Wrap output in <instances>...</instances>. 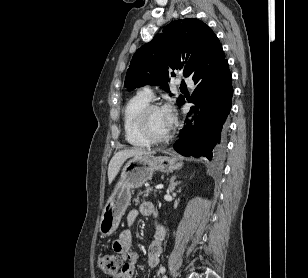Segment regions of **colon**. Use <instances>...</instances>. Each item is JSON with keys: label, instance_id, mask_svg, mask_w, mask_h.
Masks as SVG:
<instances>
[{"label": "colon", "instance_id": "obj_1", "mask_svg": "<svg viewBox=\"0 0 308 278\" xmlns=\"http://www.w3.org/2000/svg\"><path fill=\"white\" fill-rule=\"evenodd\" d=\"M98 265L105 274L114 276L122 266V259L118 254L107 253L99 257Z\"/></svg>", "mask_w": 308, "mask_h": 278}]
</instances>
